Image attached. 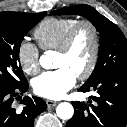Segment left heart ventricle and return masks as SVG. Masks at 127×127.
Returning <instances> with one entry per match:
<instances>
[{
	"label": "left heart ventricle",
	"instance_id": "b2bd125f",
	"mask_svg": "<svg viewBox=\"0 0 127 127\" xmlns=\"http://www.w3.org/2000/svg\"><path fill=\"white\" fill-rule=\"evenodd\" d=\"M92 47L93 41L91 33L88 29L84 28L76 36L67 54L62 55L56 53L54 67H66L77 76L87 68L92 53Z\"/></svg>",
	"mask_w": 127,
	"mask_h": 127
}]
</instances>
